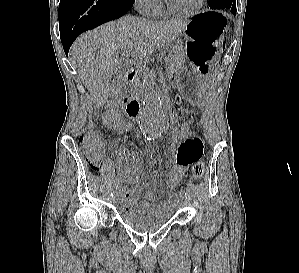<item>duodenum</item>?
Segmentation results:
<instances>
[{"instance_id":"410a0bca","label":"duodenum","mask_w":299,"mask_h":273,"mask_svg":"<svg viewBox=\"0 0 299 273\" xmlns=\"http://www.w3.org/2000/svg\"><path fill=\"white\" fill-rule=\"evenodd\" d=\"M135 77V71L132 70L128 75L129 83L132 84ZM122 107L128 116L132 118H137L141 111V104L139 100L134 95V92L130 89L129 92L122 99ZM165 110L167 107L164 106Z\"/></svg>"}]
</instances>
